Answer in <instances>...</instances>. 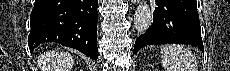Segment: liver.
I'll return each instance as SVG.
<instances>
[{"instance_id":"obj_1","label":"liver","mask_w":230,"mask_h":71,"mask_svg":"<svg viewBox=\"0 0 230 71\" xmlns=\"http://www.w3.org/2000/svg\"><path fill=\"white\" fill-rule=\"evenodd\" d=\"M74 61L69 53L46 52L38 59L41 71H71Z\"/></svg>"}]
</instances>
